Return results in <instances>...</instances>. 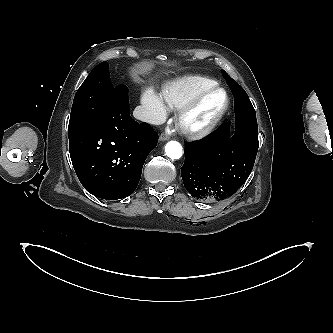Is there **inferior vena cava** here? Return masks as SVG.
I'll list each match as a JSON object with an SVG mask.
<instances>
[{"instance_id": "obj_1", "label": "inferior vena cava", "mask_w": 333, "mask_h": 333, "mask_svg": "<svg viewBox=\"0 0 333 333\" xmlns=\"http://www.w3.org/2000/svg\"><path fill=\"white\" fill-rule=\"evenodd\" d=\"M133 116L140 121L148 122L150 124H160L159 119L149 109L143 106H137L133 111Z\"/></svg>"}]
</instances>
